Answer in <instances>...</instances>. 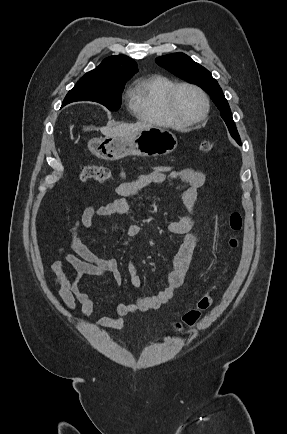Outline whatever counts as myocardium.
I'll use <instances>...</instances> for the list:
<instances>
[{
  "label": "myocardium",
  "instance_id": "obj_1",
  "mask_svg": "<svg viewBox=\"0 0 287 434\" xmlns=\"http://www.w3.org/2000/svg\"><path fill=\"white\" fill-rule=\"evenodd\" d=\"M182 88H188V89L195 91L199 95V97L201 98L202 103H203V112L199 117H197L195 119L188 120V119L181 117L179 115V113L177 112L176 107H175L176 95H177L178 91ZM166 106H167V110H168L170 116L175 121H177L182 126H190V125L199 124L206 119L208 112H209V99H208L206 93L204 92V90L202 88H200L199 86H197L193 83H189V82H180V83L174 84L168 90L167 95H166Z\"/></svg>",
  "mask_w": 287,
  "mask_h": 434
}]
</instances>
